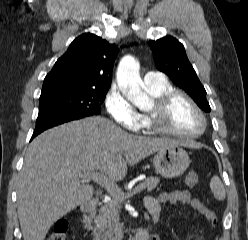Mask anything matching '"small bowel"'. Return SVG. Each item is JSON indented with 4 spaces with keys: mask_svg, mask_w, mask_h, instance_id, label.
<instances>
[{
    "mask_svg": "<svg viewBox=\"0 0 248 240\" xmlns=\"http://www.w3.org/2000/svg\"><path fill=\"white\" fill-rule=\"evenodd\" d=\"M145 207L154 222L160 220L164 204H188L212 225L217 223L214 212L205 206L200 200L194 198L188 191L162 192L156 197L147 196L144 200ZM151 240H160L157 236H151ZM221 240V239H217Z\"/></svg>",
    "mask_w": 248,
    "mask_h": 240,
    "instance_id": "small-bowel-1",
    "label": "small bowel"
}]
</instances>
